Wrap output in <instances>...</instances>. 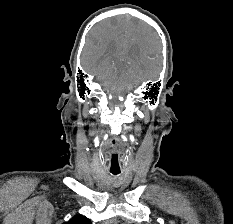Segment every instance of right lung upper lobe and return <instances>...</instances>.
<instances>
[{"label": "right lung upper lobe", "mask_w": 233, "mask_h": 224, "mask_svg": "<svg viewBox=\"0 0 233 224\" xmlns=\"http://www.w3.org/2000/svg\"><path fill=\"white\" fill-rule=\"evenodd\" d=\"M63 224H92L90 219L82 215L74 216L70 221Z\"/></svg>", "instance_id": "cb5924a9"}]
</instances>
